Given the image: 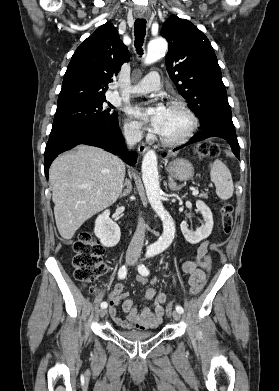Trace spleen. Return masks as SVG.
<instances>
[{
  "instance_id": "1",
  "label": "spleen",
  "mask_w": 279,
  "mask_h": 391,
  "mask_svg": "<svg viewBox=\"0 0 279 391\" xmlns=\"http://www.w3.org/2000/svg\"><path fill=\"white\" fill-rule=\"evenodd\" d=\"M210 177L216 187V194L222 200L232 197L234 185L231 173L221 160L210 163Z\"/></svg>"
}]
</instances>
